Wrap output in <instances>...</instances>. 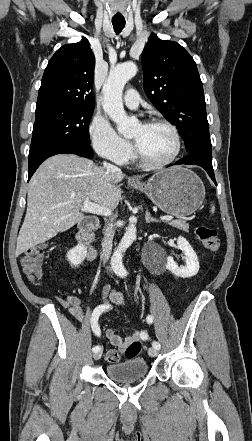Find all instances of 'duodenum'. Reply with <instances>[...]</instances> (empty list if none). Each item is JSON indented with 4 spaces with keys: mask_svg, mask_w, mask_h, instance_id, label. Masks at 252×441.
Segmentation results:
<instances>
[{
    "mask_svg": "<svg viewBox=\"0 0 252 441\" xmlns=\"http://www.w3.org/2000/svg\"><path fill=\"white\" fill-rule=\"evenodd\" d=\"M99 225V219L91 216L84 220L76 235V243L86 250L87 256L90 259H93L97 254V251L91 245V233L95 231Z\"/></svg>",
    "mask_w": 252,
    "mask_h": 441,
    "instance_id": "1",
    "label": "duodenum"
}]
</instances>
